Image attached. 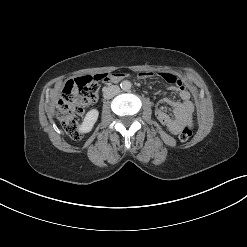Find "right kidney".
I'll use <instances>...</instances> for the list:
<instances>
[{"mask_svg": "<svg viewBox=\"0 0 247 247\" xmlns=\"http://www.w3.org/2000/svg\"><path fill=\"white\" fill-rule=\"evenodd\" d=\"M99 112L97 109H92L85 115L82 124L79 127V131L82 133H88L93 128L98 119Z\"/></svg>", "mask_w": 247, "mask_h": 247, "instance_id": "obj_1", "label": "right kidney"}]
</instances>
